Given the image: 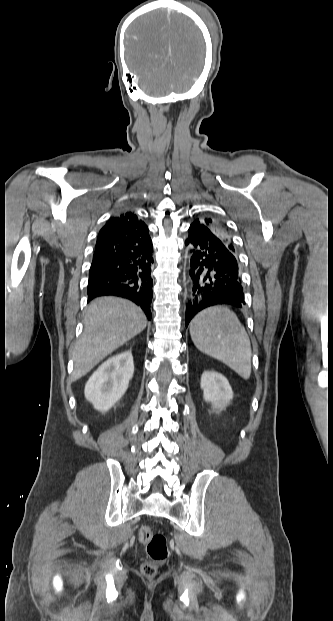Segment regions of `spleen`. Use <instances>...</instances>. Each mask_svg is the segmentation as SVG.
<instances>
[{
	"label": "spleen",
	"instance_id": "spleen-1",
	"mask_svg": "<svg viewBox=\"0 0 333 621\" xmlns=\"http://www.w3.org/2000/svg\"><path fill=\"white\" fill-rule=\"evenodd\" d=\"M190 334L196 348L224 363L243 379L251 375V344L238 317L221 315L217 307L199 312L191 321Z\"/></svg>",
	"mask_w": 333,
	"mask_h": 621
}]
</instances>
